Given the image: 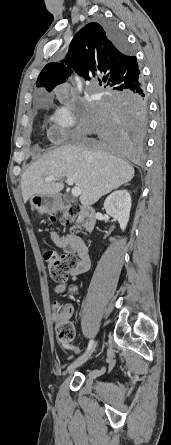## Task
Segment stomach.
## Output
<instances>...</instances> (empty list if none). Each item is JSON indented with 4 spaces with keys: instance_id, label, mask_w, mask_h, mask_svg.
Returning a JSON list of instances; mask_svg holds the SVG:
<instances>
[{
    "instance_id": "0dacf381",
    "label": "stomach",
    "mask_w": 171,
    "mask_h": 445,
    "mask_svg": "<svg viewBox=\"0 0 171 445\" xmlns=\"http://www.w3.org/2000/svg\"><path fill=\"white\" fill-rule=\"evenodd\" d=\"M30 205L33 209L53 213L58 209L59 199L58 196L34 194L30 198Z\"/></svg>"
}]
</instances>
